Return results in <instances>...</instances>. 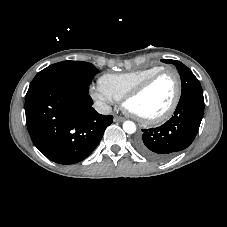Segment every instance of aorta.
<instances>
[{"label": "aorta", "mask_w": 227, "mask_h": 227, "mask_svg": "<svg viewBox=\"0 0 227 227\" xmlns=\"http://www.w3.org/2000/svg\"><path fill=\"white\" fill-rule=\"evenodd\" d=\"M123 130L128 134H133L136 131V125L132 121H125L123 123Z\"/></svg>", "instance_id": "aorta-1"}]
</instances>
